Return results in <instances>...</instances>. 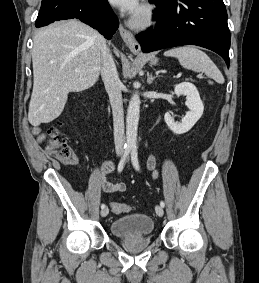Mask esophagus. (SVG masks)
<instances>
[{"instance_id":"1","label":"esophagus","mask_w":259,"mask_h":283,"mask_svg":"<svg viewBox=\"0 0 259 283\" xmlns=\"http://www.w3.org/2000/svg\"><path fill=\"white\" fill-rule=\"evenodd\" d=\"M119 31L123 41L128 46L130 51L134 54H138L140 52V45L135 39L134 35L130 31L126 30L123 26H120Z\"/></svg>"}]
</instances>
